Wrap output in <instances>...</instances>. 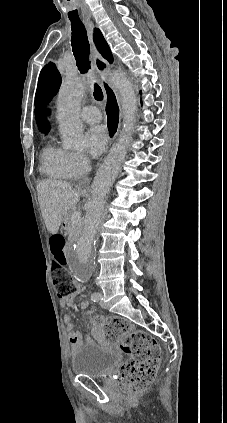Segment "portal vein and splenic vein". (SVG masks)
<instances>
[{
  "label": "portal vein and splenic vein",
  "mask_w": 227,
  "mask_h": 423,
  "mask_svg": "<svg viewBox=\"0 0 227 423\" xmlns=\"http://www.w3.org/2000/svg\"><path fill=\"white\" fill-rule=\"evenodd\" d=\"M71 219H73V221H79V219H81L80 211H73Z\"/></svg>",
  "instance_id": "portal-vein-and-splenic-vein-1"
}]
</instances>
